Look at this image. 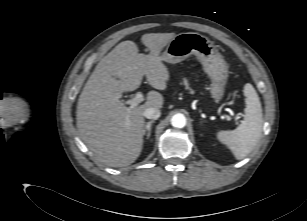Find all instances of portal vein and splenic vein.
<instances>
[{
	"instance_id": "obj_1",
	"label": "portal vein and splenic vein",
	"mask_w": 307,
	"mask_h": 221,
	"mask_svg": "<svg viewBox=\"0 0 307 221\" xmlns=\"http://www.w3.org/2000/svg\"><path fill=\"white\" fill-rule=\"evenodd\" d=\"M143 101H144V95L142 94V92L139 91L135 94L134 98L127 100L125 103L130 105V108H134ZM230 119L231 118L227 116V120H230Z\"/></svg>"
}]
</instances>
